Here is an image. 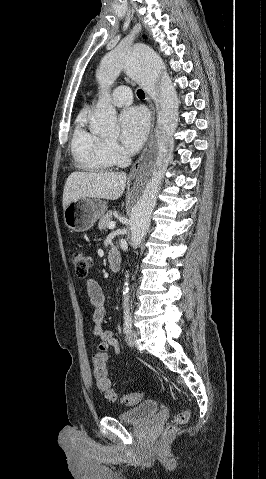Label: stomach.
<instances>
[{
	"label": "stomach",
	"instance_id": "obj_1",
	"mask_svg": "<svg viewBox=\"0 0 266 479\" xmlns=\"http://www.w3.org/2000/svg\"><path fill=\"white\" fill-rule=\"evenodd\" d=\"M107 209L105 202L81 198L71 202L64 210V222L66 226L75 232H85L92 228L98 218Z\"/></svg>",
	"mask_w": 266,
	"mask_h": 479
}]
</instances>
